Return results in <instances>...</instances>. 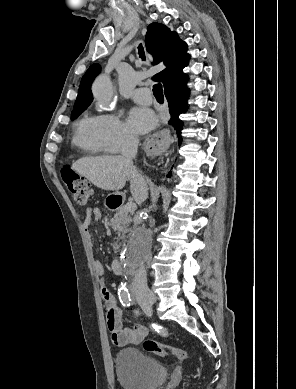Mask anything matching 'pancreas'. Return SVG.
<instances>
[{"label": "pancreas", "mask_w": 296, "mask_h": 389, "mask_svg": "<svg viewBox=\"0 0 296 389\" xmlns=\"http://www.w3.org/2000/svg\"><path fill=\"white\" fill-rule=\"evenodd\" d=\"M132 218L128 211L125 210V207H120L114 214L113 219L110 220L109 226L116 232L118 236L128 232L129 224L131 223Z\"/></svg>", "instance_id": "cf45deb5"}]
</instances>
